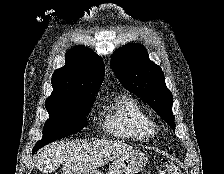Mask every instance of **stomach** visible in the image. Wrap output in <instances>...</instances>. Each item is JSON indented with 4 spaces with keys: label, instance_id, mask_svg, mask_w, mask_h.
Listing matches in <instances>:
<instances>
[{
    "label": "stomach",
    "instance_id": "stomach-1",
    "mask_svg": "<svg viewBox=\"0 0 224 174\" xmlns=\"http://www.w3.org/2000/svg\"><path fill=\"white\" fill-rule=\"evenodd\" d=\"M147 161L144 153L131 150L118 157L110 166L108 174H136L143 169ZM87 174H103L98 170H91Z\"/></svg>",
    "mask_w": 224,
    "mask_h": 174
}]
</instances>
